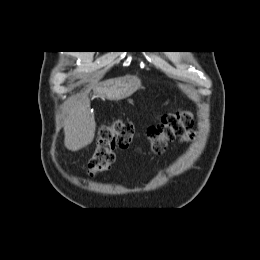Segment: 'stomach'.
<instances>
[{"label": "stomach", "mask_w": 260, "mask_h": 260, "mask_svg": "<svg viewBox=\"0 0 260 260\" xmlns=\"http://www.w3.org/2000/svg\"><path fill=\"white\" fill-rule=\"evenodd\" d=\"M138 88H140V80L137 77L119 78L111 88V97L113 100L123 99L132 95Z\"/></svg>", "instance_id": "1"}]
</instances>
